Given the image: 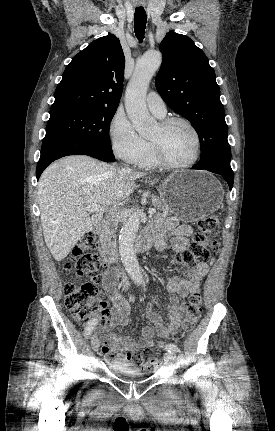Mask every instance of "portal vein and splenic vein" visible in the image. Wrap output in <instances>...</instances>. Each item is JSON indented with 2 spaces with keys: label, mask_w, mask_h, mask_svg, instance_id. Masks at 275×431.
<instances>
[{
  "label": "portal vein and splenic vein",
  "mask_w": 275,
  "mask_h": 431,
  "mask_svg": "<svg viewBox=\"0 0 275 431\" xmlns=\"http://www.w3.org/2000/svg\"><path fill=\"white\" fill-rule=\"evenodd\" d=\"M85 210L88 212H104V211H106L105 208H103L102 206H100L96 203H93L91 205L86 206ZM148 212L150 215H153L156 212V210L154 208H151V209H149Z\"/></svg>",
  "instance_id": "portal-vein-and-splenic-vein-1"
}]
</instances>
